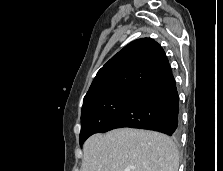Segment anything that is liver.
Masks as SVG:
<instances>
[{
	"mask_svg": "<svg viewBox=\"0 0 223 171\" xmlns=\"http://www.w3.org/2000/svg\"><path fill=\"white\" fill-rule=\"evenodd\" d=\"M81 171H178L177 147L167 135L119 128L94 134L83 145Z\"/></svg>",
	"mask_w": 223,
	"mask_h": 171,
	"instance_id": "liver-1",
	"label": "liver"
}]
</instances>
